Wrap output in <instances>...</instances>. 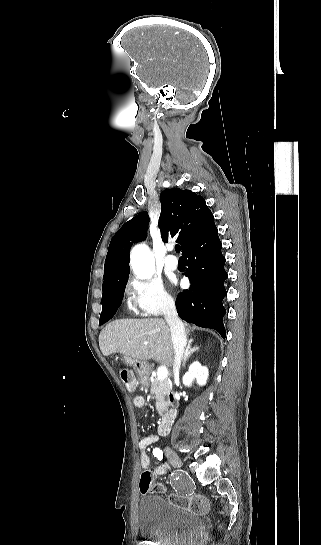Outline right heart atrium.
<instances>
[{"instance_id":"obj_1","label":"right heart atrium","mask_w":321,"mask_h":545,"mask_svg":"<svg viewBox=\"0 0 321 545\" xmlns=\"http://www.w3.org/2000/svg\"><path fill=\"white\" fill-rule=\"evenodd\" d=\"M132 313L141 317H156L175 306L174 298L166 292L161 280L154 275L131 277L125 290Z\"/></svg>"}]
</instances>
